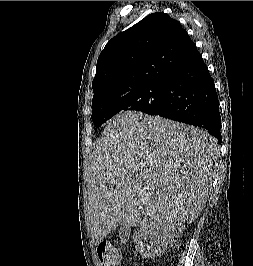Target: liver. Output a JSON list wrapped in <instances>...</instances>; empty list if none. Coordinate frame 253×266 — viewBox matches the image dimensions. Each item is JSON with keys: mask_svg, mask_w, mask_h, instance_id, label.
I'll return each mask as SVG.
<instances>
[{"mask_svg": "<svg viewBox=\"0 0 253 266\" xmlns=\"http://www.w3.org/2000/svg\"><path fill=\"white\" fill-rule=\"evenodd\" d=\"M218 157L216 139L199 128L141 112L113 117L89 161L94 245L118 224L195 221L205 207Z\"/></svg>", "mask_w": 253, "mask_h": 266, "instance_id": "liver-1", "label": "liver"}]
</instances>
